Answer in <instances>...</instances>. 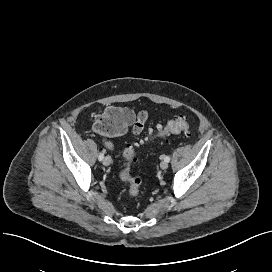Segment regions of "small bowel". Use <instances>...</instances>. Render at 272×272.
<instances>
[{
	"mask_svg": "<svg viewBox=\"0 0 272 272\" xmlns=\"http://www.w3.org/2000/svg\"><path fill=\"white\" fill-rule=\"evenodd\" d=\"M125 110H127L131 114V120H130L129 124L133 123L135 120L138 121V119H140V118L144 120V124H145V121H146V118H147V115H146L145 112H140L137 115V117H135V114L131 110H129L127 108H125ZM143 128H144V126H143ZM104 145L109 151H113L115 149V146H114L113 142L108 140V139H106L104 141Z\"/></svg>",
	"mask_w": 272,
	"mask_h": 272,
	"instance_id": "obj_1",
	"label": "small bowel"
}]
</instances>
